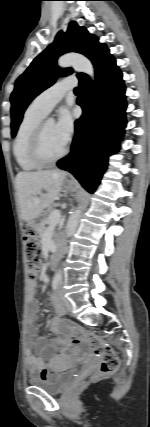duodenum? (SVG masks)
Returning <instances> with one entry per match:
<instances>
[{
    "label": "duodenum",
    "mask_w": 150,
    "mask_h": 427,
    "mask_svg": "<svg viewBox=\"0 0 150 427\" xmlns=\"http://www.w3.org/2000/svg\"><path fill=\"white\" fill-rule=\"evenodd\" d=\"M56 261H57V255H56V254H53V255L51 256V258H50V262H49V264H50V267H51V268H54V267H55V265H56Z\"/></svg>",
    "instance_id": "410a0bca"
}]
</instances>
